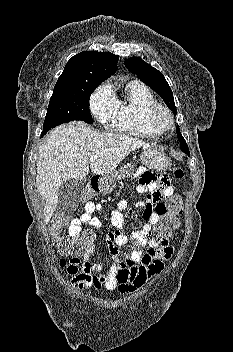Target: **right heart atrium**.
I'll return each mask as SVG.
<instances>
[{
  "label": "right heart atrium",
  "instance_id": "1",
  "mask_svg": "<svg viewBox=\"0 0 233 352\" xmlns=\"http://www.w3.org/2000/svg\"><path fill=\"white\" fill-rule=\"evenodd\" d=\"M90 111L106 127H115L119 101L109 84L100 85L90 97Z\"/></svg>",
  "mask_w": 233,
  "mask_h": 352
}]
</instances>
